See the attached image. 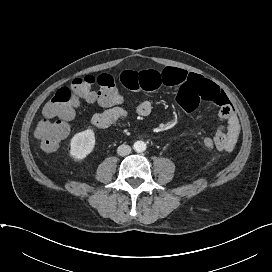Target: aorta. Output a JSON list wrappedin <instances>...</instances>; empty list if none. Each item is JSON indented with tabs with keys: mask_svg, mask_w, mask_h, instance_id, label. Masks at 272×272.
<instances>
[{
	"mask_svg": "<svg viewBox=\"0 0 272 272\" xmlns=\"http://www.w3.org/2000/svg\"><path fill=\"white\" fill-rule=\"evenodd\" d=\"M133 148L136 152H144L147 146L144 141H136L133 145Z\"/></svg>",
	"mask_w": 272,
	"mask_h": 272,
	"instance_id": "obj_1",
	"label": "aorta"
}]
</instances>
